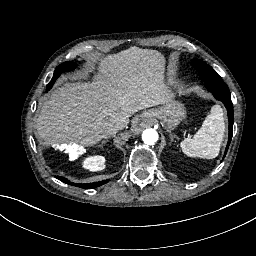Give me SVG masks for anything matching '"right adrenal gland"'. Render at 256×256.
<instances>
[{
	"mask_svg": "<svg viewBox=\"0 0 256 256\" xmlns=\"http://www.w3.org/2000/svg\"><path fill=\"white\" fill-rule=\"evenodd\" d=\"M107 142H108V140H103L99 146H101V147H102V146H103V144H105V143H107Z\"/></svg>",
	"mask_w": 256,
	"mask_h": 256,
	"instance_id": "2a0ac1e0",
	"label": "right adrenal gland"
}]
</instances>
